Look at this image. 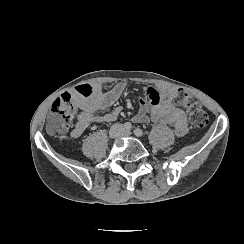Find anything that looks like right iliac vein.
Returning a JSON list of instances; mask_svg holds the SVG:
<instances>
[{"label": "right iliac vein", "mask_w": 244, "mask_h": 244, "mask_svg": "<svg viewBox=\"0 0 244 244\" xmlns=\"http://www.w3.org/2000/svg\"><path fill=\"white\" fill-rule=\"evenodd\" d=\"M119 130H120V127L115 125L113 127H111V129L109 130V137L110 138H115L118 136L119 134Z\"/></svg>", "instance_id": "1"}]
</instances>
